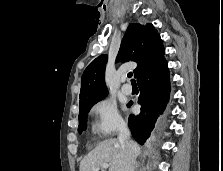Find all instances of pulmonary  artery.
Wrapping results in <instances>:
<instances>
[{
	"label": "pulmonary artery",
	"mask_w": 223,
	"mask_h": 171,
	"mask_svg": "<svg viewBox=\"0 0 223 171\" xmlns=\"http://www.w3.org/2000/svg\"><path fill=\"white\" fill-rule=\"evenodd\" d=\"M123 81L125 82V78H123ZM121 91L125 95H130L132 93V87L129 84L124 83L121 87Z\"/></svg>",
	"instance_id": "obj_1"
}]
</instances>
